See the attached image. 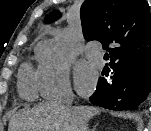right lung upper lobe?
Masks as SVG:
<instances>
[{
    "label": "right lung upper lobe",
    "mask_w": 151,
    "mask_h": 131,
    "mask_svg": "<svg viewBox=\"0 0 151 131\" xmlns=\"http://www.w3.org/2000/svg\"><path fill=\"white\" fill-rule=\"evenodd\" d=\"M85 39L108 48L110 66L135 68L151 63V13L145 0H85L81 7ZM60 17H46L51 22Z\"/></svg>",
    "instance_id": "right-lung-upper-lobe-1"
}]
</instances>
